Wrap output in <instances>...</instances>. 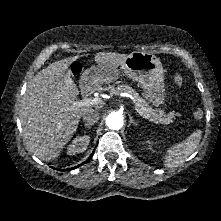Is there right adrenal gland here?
Instances as JSON below:
<instances>
[{
    "mask_svg": "<svg viewBox=\"0 0 221 221\" xmlns=\"http://www.w3.org/2000/svg\"><path fill=\"white\" fill-rule=\"evenodd\" d=\"M84 128L90 129L91 126L90 125H84Z\"/></svg>",
    "mask_w": 221,
    "mask_h": 221,
    "instance_id": "obj_1",
    "label": "right adrenal gland"
}]
</instances>
